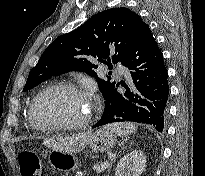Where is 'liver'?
Listing matches in <instances>:
<instances>
[{"label": "liver", "instance_id": "obj_1", "mask_svg": "<svg viewBox=\"0 0 205 176\" xmlns=\"http://www.w3.org/2000/svg\"><path fill=\"white\" fill-rule=\"evenodd\" d=\"M91 132L80 133L67 138L51 139L44 143L54 150L70 153L82 151L89 143Z\"/></svg>", "mask_w": 205, "mask_h": 176}]
</instances>
